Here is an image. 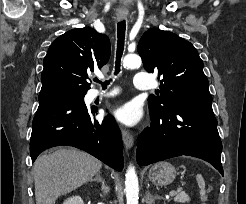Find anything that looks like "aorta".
<instances>
[{"label": "aorta", "instance_id": "762f6f07", "mask_svg": "<svg viewBox=\"0 0 246 204\" xmlns=\"http://www.w3.org/2000/svg\"><path fill=\"white\" fill-rule=\"evenodd\" d=\"M123 65L127 68L138 67L141 65V58L136 54H128L124 57ZM125 176L126 204H138L139 183L135 167L130 165Z\"/></svg>", "mask_w": 246, "mask_h": 204}]
</instances>
